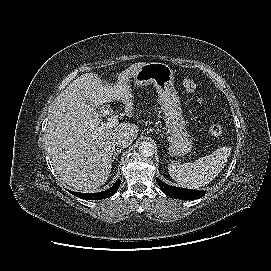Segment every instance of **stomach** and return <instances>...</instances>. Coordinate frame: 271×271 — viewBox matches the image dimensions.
<instances>
[{"label": "stomach", "instance_id": "stomach-1", "mask_svg": "<svg viewBox=\"0 0 271 271\" xmlns=\"http://www.w3.org/2000/svg\"><path fill=\"white\" fill-rule=\"evenodd\" d=\"M132 81L136 87L153 84L156 88L165 115L168 153L171 156H184L191 152L193 138L183 116L180 99L174 87V71L170 66L158 62L145 63Z\"/></svg>", "mask_w": 271, "mask_h": 271}]
</instances>
